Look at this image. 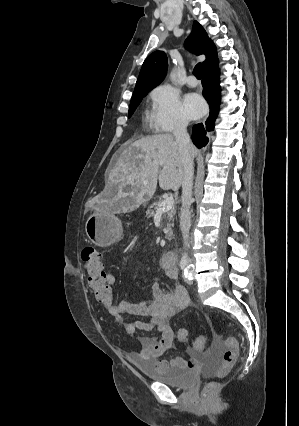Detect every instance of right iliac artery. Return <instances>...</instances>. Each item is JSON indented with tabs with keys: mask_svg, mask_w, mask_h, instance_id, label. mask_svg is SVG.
Masks as SVG:
<instances>
[{
	"mask_svg": "<svg viewBox=\"0 0 299 426\" xmlns=\"http://www.w3.org/2000/svg\"><path fill=\"white\" fill-rule=\"evenodd\" d=\"M186 264H187L186 261H184V260L181 261L180 262V268L183 270L185 268Z\"/></svg>",
	"mask_w": 299,
	"mask_h": 426,
	"instance_id": "1",
	"label": "right iliac artery"
}]
</instances>
